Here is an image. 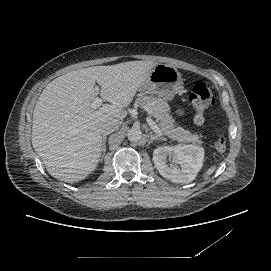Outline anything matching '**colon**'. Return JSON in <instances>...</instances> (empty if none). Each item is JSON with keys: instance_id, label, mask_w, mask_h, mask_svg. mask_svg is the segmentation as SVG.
Segmentation results:
<instances>
[{"instance_id": "obj_1", "label": "colon", "mask_w": 271, "mask_h": 271, "mask_svg": "<svg viewBox=\"0 0 271 271\" xmlns=\"http://www.w3.org/2000/svg\"><path fill=\"white\" fill-rule=\"evenodd\" d=\"M189 101L196 110V122L201 124L205 119V110L214 105L215 97L212 90L205 83L197 82L189 95ZM215 147L220 152L224 151L227 147L226 139L224 137L218 138Z\"/></svg>"}]
</instances>
